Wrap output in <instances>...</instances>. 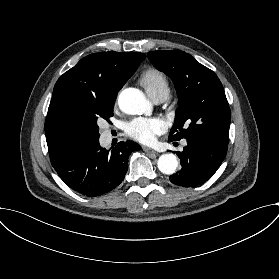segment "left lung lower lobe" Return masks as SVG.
I'll return each mask as SVG.
<instances>
[{"label":"left lung lower lobe","instance_id":"obj_1","mask_svg":"<svg viewBox=\"0 0 279 279\" xmlns=\"http://www.w3.org/2000/svg\"><path fill=\"white\" fill-rule=\"evenodd\" d=\"M186 140L184 150L176 152L182 168L170 176V181L175 185L194 187L206 182L220 167L227 153L228 141L212 137Z\"/></svg>","mask_w":279,"mask_h":279}]
</instances>
